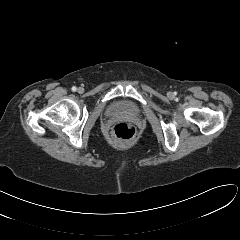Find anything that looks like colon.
<instances>
[{
  "label": "colon",
  "mask_w": 240,
  "mask_h": 240,
  "mask_svg": "<svg viewBox=\"0 0 240 240\" xmlns=\"http://www.w3.org/2000/svg\"><path fill=\"white\" fill-rule=\"evenodd\" d=\"M136 128L133 124L120 122L112 127L111 134L114 138L121 141H130L136 136Z\"/></svg>",
  "instance_id": "5ec220e1"
}]
</instances>
